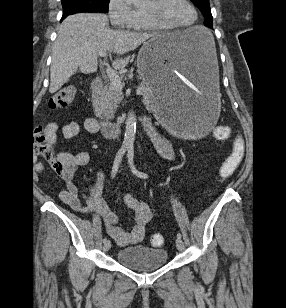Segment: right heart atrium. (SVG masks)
<instances>
[{"label":"right heart atrium","instance_id":"d8ad5b80","mask_svg":"<svg viewBox=\"0 0 286 308\" xmlns=\"http://www.w3.org/2000/svg\"><path fill=\"white\" fill-rule=\"evenodd\" d=\"M107 11L112 26L121 29H133L141 15L128 0H108Z\"/></svg>","mask_w":286,"mask_h":308}]
</instances>
